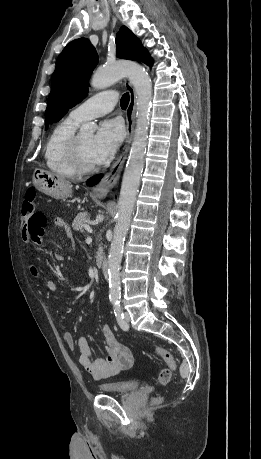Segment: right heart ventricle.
Instances as JSON below:
<instances>
[{
	"label": "right heart ventricle",
	"mask_w": 261,
	"mask_h": 459,
	"mask_svg": "<svg viewBox=\"0 0 261 459\" xmlns=\"http://www.w3.org/2000/svg\"><path fill=\"white\" fill-rule=\"evenodd\" d=\"M79 123L80 121L70 116L60 121L51 130L44 148L47 167L66 177H74L78 174L70 162L68 147Z\"/></svg>",
	"instance_id": "e07e8e85"
}]
</instances>
